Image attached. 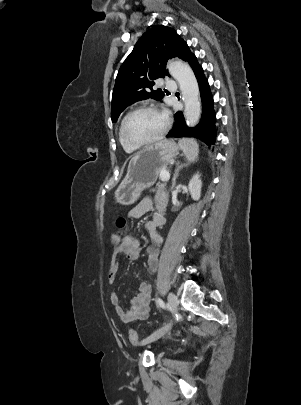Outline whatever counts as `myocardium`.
I'll return each mask as SVG.
<instances>
[{"instance_id": "f54148a6", "label": "myocardium", "mask_w": 301, "mask_h": 405, "mask_svg": "<svg viewBox=\"0 0 301 405\" xmlns=\"http://www.w3.org/2000/svg\"><path fill=\"white\" fill-rule=\"evenodd\" d=\"M141 111H154L156 113H159L164 119V125H163V128L161 129V131L155 137H153L149 140H146V141L137 142V141L132 140L128 136L127 124L133 115H135L136 113H139ZM169 128H170V119L165 112H163L162 110H160L158 107H156L154 105H142V106L134 108L124 117L122 124H121V136L126 144L137 149V148H141V147H144L147 145H151V144L161 140L167 134Z\"/></svg>"}]
</instances>
